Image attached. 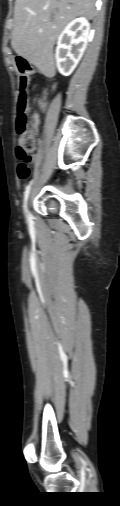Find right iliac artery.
Segmentation results:
<instances>
[{"label": "right iliac artery", "mask_w": 120, "mask_h": 506, "mask_svg": "<svg viewBox=\"0 0 120 506\" xmlns=\"http://www.w3.org/2000/svg\"><path fill=\"white\" fill-rule=\"evenodd\" d=\"M30 187H31V182L26 186L25 193H24V211L25 212H26V203H27L29 193H30Z\"/></svg>", "instance_id": "obj_1"}]
</instances>
